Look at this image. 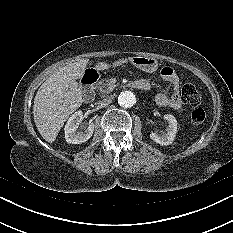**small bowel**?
Masks as SVG:
<instances>
[{
  "label": "small bowel",
  "mask_w": 233,
  "mask_h": 233,
  "mask_svg": "<svg viewBox=\"0 0 233 233\" xmlns=\"http://www.w3.org/2000/svg\"><path fill=\"white\" fill-rule=\"evenodd\" d=\"M160 74L164 81L169 82L173 86L174 93L171 96H167L163 93L157 94L155 97L157 105L161 107H169L174 111L181 112L183 110V102L179 92L180 80L178 75L169 67L163 68ZM143 81L147 84V89L151 88L153 85L149 80Z\"/></svg>",
  "instance_id": "obj_1"
}]
</instances>
